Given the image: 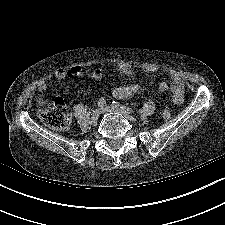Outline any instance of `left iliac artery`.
Segmentation results:
<instances>
[{"mask_svg": "<svg viewBox=\"0 0 225 225\" xmlns=\"http://www.w3.org/2000/svg\"><path fill=\"white\" fill-rule=\"evenodd\" d=\"M112 107H115V108H122V109H126L127 111L129 112H135L134 110H132L131 108L129 107H126L125 105H122L120 104L119 102H116V101H113L112 104H111Z\"/></svg>", "mask_w": 225, "mask_h": 225, "instance_id": "left-iliac-artery-1", "label": "left iliac artery"}]
</instances>
